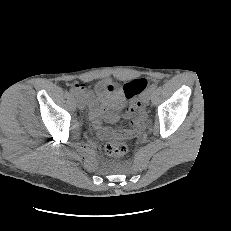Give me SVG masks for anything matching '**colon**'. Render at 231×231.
Listing matches in <instances>:
<instances>
[{"label": "colon", "instance_id": "1", "mask_svg": "<svg viewBox=\"0 0 231 231\" xmlns=\"http://www.w3.org/2000/svg\"><path fill=\"white\" fill-rule=\"evenodd\" d=\"M147 81L144 79H135L123 86V92L130 100V109L136 110L140 106V100L137 98L145 89ZM105 151L110 156L121 157L128 153V146L121 141H113L106 145Z\"/></svg>", "mask_w": 231, "mask_h": 231}]
</instances>
